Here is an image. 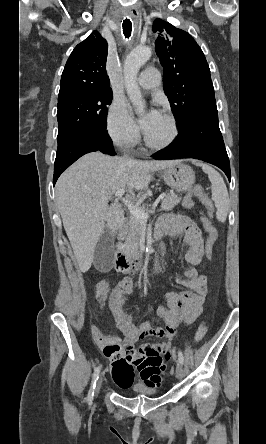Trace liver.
Returning a JSON list of instances; mask_svg holds the SVG:
<instances>
[{"label":"liver","instance_id":"1","mask_svg":"<svg viewBox=\"0 0 266 444\" xmlns=\"http://www.w3.org/2000/svg\"><path fill=\"white\" fill-rule=\"evenodd\" d=\"M178 161H140L100 152L82 156L56 183V203L81 272L93 261L100 237L115 234L124 224V211L109 198L121 189L130 194L148 187L151 172Z\"/></svg>","mask_w":266,"mask_h":444}]
</instances>
